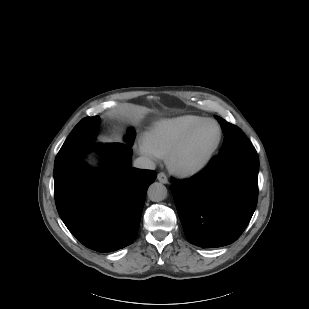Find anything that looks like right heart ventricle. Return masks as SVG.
Instances as JSON below:
<instances>
[{
  "label": "right heart ventricle",
  "instance_id": "right-heart-ventricle-1",
  "mask_svg": "<svg viewBox=\"0 0 309 309\" xmlns=\"http://www.w3.org/2000/svg\"><path fill=\"white\" fill-rule=\"evenodd\" d=\"M202 120L198 116L185 115L158 121L145 133L144 142L157 157L166 158L182 137Z\"/></svg>",
  "mask_w": 309,
  "mask_h": 309
}]
</instances>
